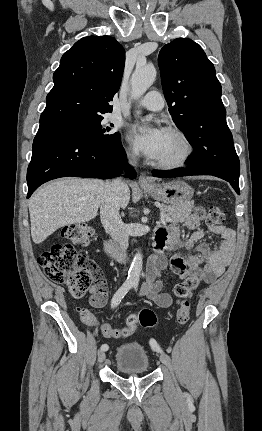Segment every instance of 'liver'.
Here are the masks:
<instances>
[{
    "mask_svg": "<svg viewBox=\"0 0 262 431\" xmlns=\"http://www.w3.org/2000/svg\"><path fill=\"white\" fill-rule=\"evenodd\" d=\"M106 182L99 179L63 178L37 190L29 201L31 236L43 242L58 228L83 223L97 216ZM130 201L128 186L120 195V206Z\"/></svg>",
    "mask_w": 262,
    "mask_h": 431,
    "instance_id": "6515ba94",
    "label": "liver"
}]
</instances>
